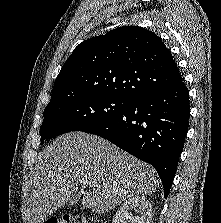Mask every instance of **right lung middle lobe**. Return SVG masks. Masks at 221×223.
Segmentation results:
<instances>
[{
    "mask_svg": "<svg viewBox=\"0 0 221 223\" xmlns=\"http://www.w3.org/2000/svg\"><path fill=\"white\" fill-rule=\"evenodd\" d=\"M132 100L109 95H80L48 104L40 128L41 144L71 131H86L123 112Z\"/></svg>",
    "mask_w": 221,
    "mask_h": 223,
    "instance_id": "right-lung-middle-lobe-1",
    "label": "right lung middle lobe"
}]
</instances>
